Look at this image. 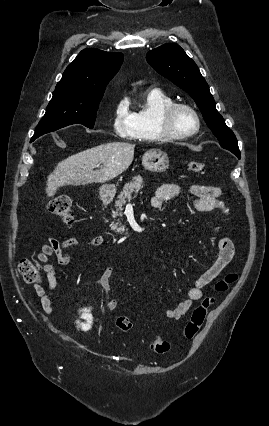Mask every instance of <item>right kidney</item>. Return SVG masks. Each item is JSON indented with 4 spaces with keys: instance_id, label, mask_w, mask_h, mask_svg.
<instances>
[{
    "instance_id": "ca27d5eb",
    "label": "right kidney",
    "mask_w": 269,
    "mask_h": 426,
    "mask_svg": "<svg viewBox=\"0 0 269 426\" xmlns=\"http://www.w3.org/2000/svg\"><path fill=\"white\" fill-rule=\"evenodd\" d=\"M87 312L89 311L84 310V313L81 316V318L86 320V323H80L79 325V327H81L83 331H88L91 328V324H92V315Z\"/></svg>"
}]
</instances>
